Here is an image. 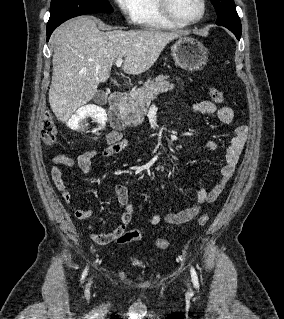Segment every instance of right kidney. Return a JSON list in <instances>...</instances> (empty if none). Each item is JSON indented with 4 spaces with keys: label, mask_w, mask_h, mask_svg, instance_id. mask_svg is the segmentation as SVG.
Wrapping results in <instances>:
<instances>
[{
    "label": "right kidney",
    "mask_w": 284,
    "mask_h": 319,
    "mask_svg": "<svg viewBox=\"0 0 284 319\" xmlns=\"http://www.w3.org/2000/svg\"><path fill=\"white\" fill-rule=\"evenodd\" d=\"M89 116L94 117L102 126L107 120L106 112L103 109L92 105H86L77 110L76 114L71 118L69 126L72 129H79L82 126L83 120Z\"/></svg>",
    "instance_id": "ca27d5eb"
}]
</instances>
